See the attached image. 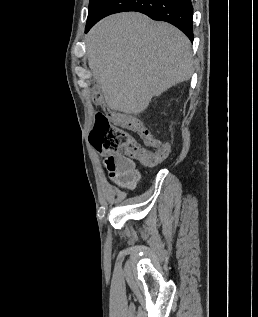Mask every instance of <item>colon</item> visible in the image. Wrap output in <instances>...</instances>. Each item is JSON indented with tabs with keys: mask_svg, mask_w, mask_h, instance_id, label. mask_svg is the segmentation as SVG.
Listing matches in <instances>:
<instances>
[{
	"mask_svg": "<svg viewBox=\"0 0 258 317\" xmlns=\"http://www.w3.org/2000/svg\"><path fill=\"white\" fill-rule=\"evenodd\" d=\"M95 100L106 106V101L100 96H96ZM119 116V113H96L94 126L89 136L92 146L109 155L117 154L136 159L146 166L160 164L164 160L163 153L143 148L133 135L114 126Z\"/></svg>",
	"mask_w": 258,
	"mask_h": 317,
	"instance_id": "5ec220e1",
	"label": "colon"
}]
</instances>
